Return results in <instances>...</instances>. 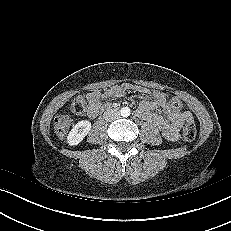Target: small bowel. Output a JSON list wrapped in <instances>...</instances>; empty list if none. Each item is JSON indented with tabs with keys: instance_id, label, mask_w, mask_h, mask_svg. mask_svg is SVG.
Here are the masks:
<instances>
[{
	"instance_id": "c3829d8e",
	"label": "small bowel",
	"mask_w": 231,
	"mask_h": 231,
	"mask_svg": "<svg viewBox=\"0 0 231 231\" xmlns=\"http://www.w3.org/2000/svg\"><path fill=\"white\" fill-rule=\"evenodd\" d=\"M135 91L143 96L139 104L136 115L148 122L156 125L162 135L168 140H176L179 137V128L186 121H193V116L188 111L174 109L165 93L160 91H150L146 88L122 84L112 86L103 91H93L86 95L88 103L87 114L89 117H96L102 110L108 107L103 102L123 96L127 91ZM163 111L165 115L160 112Z\"/></svg>"
}]
</instances>
